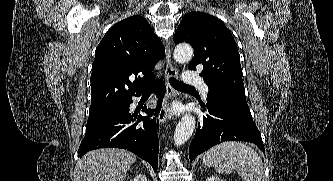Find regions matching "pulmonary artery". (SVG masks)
I'll use <instances>...</instances> for the list:
<instances>
[{"mask_svg":"<svg viewBox=\"0 0 333 181\" xmlns=\"http://www.w3.org/2000/svg\"><path fill=\"white\" fill-rule=\"evenodd\" d=\"M182 78L186 84L191 86H198L199 88H201L204 97L208 96V87L204 83L203 78L200 77L197 73L193 71H188L183 74Z\"/></svg>","mask_w":333,"mask_h":181,"instance_id":"pulmonary-artery-1","label":"pulmonary artery"}]
</instances>
